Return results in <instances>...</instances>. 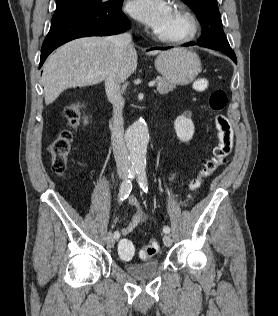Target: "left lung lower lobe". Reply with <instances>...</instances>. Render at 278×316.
Returning a JSON list of instances; mask_svg holds the SVG:
<instances>
[{
	"label": "left lung lower lobe",
	"instance_id": "obj_1",
	"mask_svg": "<svg viewBox=\"0 0 278 316\" xmlns=\"http://www.w3.org/2000/svg\"><path fill=\"white\" fill-rule=\"evenodd\" d=\"M190 45H195V43L194 42H190V43H186V44H184V46H190ZM199 45V44H198ZM230 57V56H229ZM231 58V57H230ZM235 63H237V59H235V58H231Z\"/></svg>",
	"mask_w": 278,
	"mask_h": 316
}]
</instances>
